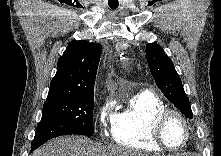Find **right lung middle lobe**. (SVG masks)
<instances>
[{
	"label": "right lung middle lobe",
	"instance_id": "dd1d6c3e",
	"mask_svg": "<svg viewBox=\"0 0 221 156\" xmlns=\"http://www.w3.org/2000/svg\"><path fill=\"white\" fill-rule=\"evenodd\" d=\"M93 106V92L69 98L46 100L31 150L61 135H93Z\"/></svg>",
	"mask_w": 221,
	"mask_h": 156
}]
</instances>
